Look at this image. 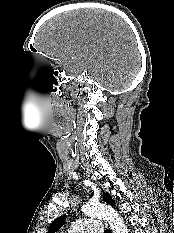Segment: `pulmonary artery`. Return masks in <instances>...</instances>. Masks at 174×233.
<instances>
[{
  "instance_id": "obj_1",
  "label": "pulmonary artery",
  "mask_w": 174,
  "mask_h": 233,
  "mask_svg": "<svg viewBox=\"0 0 174 233\" xmlns=\"http://www.w3.org/2000/svg\"><path fill=\"white\" fill-rule=\"evenodd\" d=\"M102 222L97 219H80L71 226L70 233H102Z\"/></svg>"
}]
</instances>
